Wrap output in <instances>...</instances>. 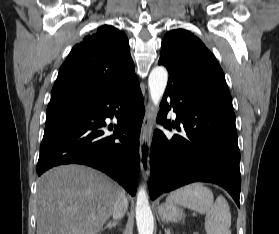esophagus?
<instances>
[{
	"label": "esophagus",
	"mask_w": 279,
	"mask_h": 234,
	"mask_svg": "<svg viewBox=\"0 0 279 234\" xmlns=\"http://www.w3.org/2000/svg\"><path fill=\"white\" fill-rule=\"evenodd\" d=\"M154 120V109L151 103L146 105V113L140 133V168L145 179L149 174V153L151 144L152 127Z\"/></svg>",
	"instance_id": "1"
}]
</instances>
